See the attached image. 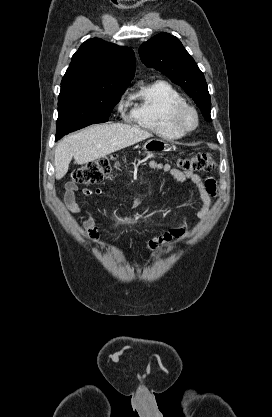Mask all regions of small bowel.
<instances>
[{
	"mask_svg": "<svg viewBox=\"0 0 272 417\" xmlns=\"http://www.w3.org/2000/svg\"><path fill=\"white\" fill-rule=\"evenodd\" d=\"M148 168L153 170L163 171L170 176H172L179 183L185 181H191L197 188L200 198V208L197 212L198 217H204L207 215L210 208L211 197L215 195L216 185L215 181L212 178H208L205 181L198 175L193 172H184L175 167H172L168 163H161L155 160H148L144 163ZM78 192V186L74 182H67L64 188V209L67 212L79 213L81 211L80 206L76 200V194ZM81 193L85 196H90L93 194V191L89 188H83ZM97 196H102L104 194L103 189L98 188L95 190ZM137 204L135 200L134 205ZM84 229L85 235L91 241L100 244L99 234L97 231L95 220L90 212L86 213L84 220ZM189 238V235L186 232V219L184 216H180L179 224L165 233L154 237L151 239L147 247L149 249H155L157 245L168 242L170 240H177L178 243H182Z\"/></svg>",
	"mask_w": 272,
	"mask_h": 417,
	"instance_id": "c3829d8e",
	"label": "small bowel"
}]
</instances>
